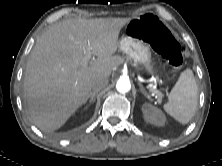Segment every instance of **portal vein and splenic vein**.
Segmentation results:
<instances>
[{
  "label": "portal vein and splenic vein",
  "instance_id": "obj_1",
  "mask_svg": "<svg viewBox=\"0 0 222 166\" xmlns=\"http://www.w3.org/2000/svg\"><path fill=\"white\" fill-rule=\"evenodd\" d=\"M89 43L85 45V48H86V58H90L91 57V53L89 52ZM150 91L155 94L156 96L158 97H161L162 96V93L154 88H150Z\"/></svg>",
  "mask_w": 222,
  "mask_h": 166
}]
</instances>
